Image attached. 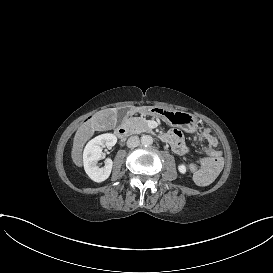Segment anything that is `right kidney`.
<instances>
[{
	"mask_svg": "<svg viewBox=\"0 0 273 273\" xmlns=\"http://www.w3.org/2000/svg\"><path fill=\"white\" fill-rule=\"evenodd\" d=\"M116 140L114 135L105 134L93 139L86 146L84 168L87 175L94 182L102 183L109 178L113 168V161L108 159L103 168L98 166V162L102 159L103 148L115 145Z\"/></svg>",
	"mask_w": 273,
	"mask_h": 273,
	"instance_id": "obj_1",
	"label": "right kidney"
}]
</instances>
